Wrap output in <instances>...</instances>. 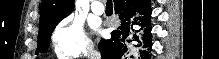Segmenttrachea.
Returning a JSON list of instances; mask_svg holds the SVG:
<instances>
[{
	"label": "trachea",
	"instance_id": "1",
	"mask_svg": "<svg viewBox=\"0 0 219 59\" xmlns=\"http://www.w3.org/2000/svg\"><path fill=\"white\" fill-rule=\"evenodd\" d=\"M107 8H112V0H108L106 3Z\"/></svg>",
	"mask_w": 219,
	"mask_h": 59
}]
</instances>
